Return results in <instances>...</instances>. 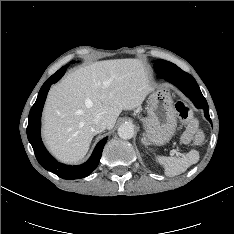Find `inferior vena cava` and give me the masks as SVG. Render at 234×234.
<instances>
[{"label": "inferior vena cava", "instance_id": "obj_1", "mask_svg": "<svg viewBox=\"0 0 234 234\" xmlns=\"http://www.w3.org/2000/svg\"><path fill=\"white\" fill-rule=\"evenodd\" d=\"M107 127V123L100 117H95L92 121V131L97 134L103 132Z\"/></svg>", "mask_w": 234, "mask_h": 234}]
</instances>
